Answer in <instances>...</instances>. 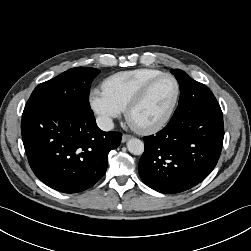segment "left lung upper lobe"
<instances>
[{
  "label": "left lung upper lobe",
  "instance_id": "obj_1",
  "mask_svg": "<svg viewBox=\"0 0 251 251\" xmlns=\"http://www.w3.org/2000/svg\"><path fill=\"white\" fill-rule=\"evenodd\" d=\"M171 73L175 75L180 85V93L183 92V90H190L196 85L202 84L190 78L184 71L180 69H172Z\"/></svg>",
  "mask_w": 251,
  "mask_h": 251
}]
</instances>
